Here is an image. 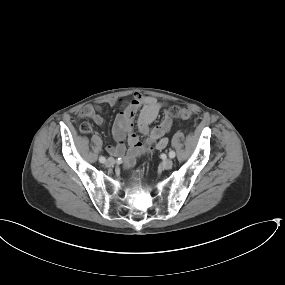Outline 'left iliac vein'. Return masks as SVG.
Returning <instances> with one entry per match:
<instances>
[{
    "label": "left iliac vein",
    "mask_w": 285,
    "mask_h": 285,
    "mask_svg": "<svg viewBox=\"0 0 285 285\" xmlns=\"http://www.w3.org/2000/svg\"><path fill=\"white\" fill-rule=\"evenodd\" d=\"M173 166V161L171 159H165L163 162H162V168L164 170H169L171 169Z\"/></svg>",
    "instance_id": "1"
}]
</instances>
